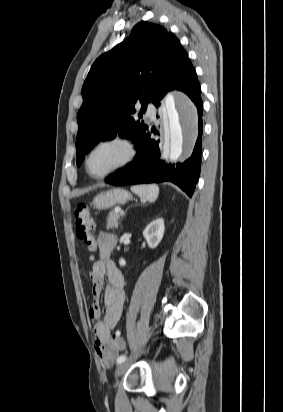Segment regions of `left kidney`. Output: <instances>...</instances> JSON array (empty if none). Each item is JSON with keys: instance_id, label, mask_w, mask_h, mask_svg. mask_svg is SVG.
<instances>
[{"instance_id": "5707ae66", "label": "left kidney", "mask_w": 283, "mask_h": 412, "mask_svg": "<svg viewBox=\"0 0 283 412\" xmlns=\"http://www.w3.org/2000/svg\"><path fill=\"white\" fill-rule=\"evenodd\" d=\"M165 231L164 220L159 218L152 221L143 231V236L147 241L148 246L154 249L158 246L163 238ZM119 264L124 266L126 264L123 258L120 259Z\"/></svg>"}]
</instances>
